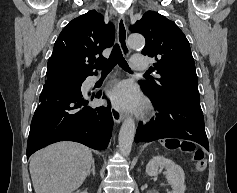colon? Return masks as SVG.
Wrapping results in <instances>:
<instances>
[{
  "label": "colon",
  "instance_id": "5ec220e1",
  "mask_svg": "<svg viewBox=\"0 0 237 193\" xmlns=\"http://www.w3.org/2000/svg\"><path fill=\"white\" fill-rule=\"evenodd\" d=\"M167 146L170 148L181 149L183 151L189 152L195 162L196 169L198 171H204L207 167V160L203 151L198 150L192 143L189 142H168Z\"/></svg>",
  "mask_w": 237,
  "mask_h": 193
}]
</instances>
